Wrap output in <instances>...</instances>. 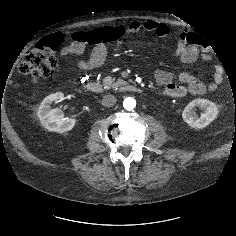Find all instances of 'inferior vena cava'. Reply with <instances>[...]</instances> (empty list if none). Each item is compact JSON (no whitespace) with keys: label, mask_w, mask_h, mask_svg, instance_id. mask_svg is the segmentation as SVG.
I'll use <instances>...</instances> for the list:
<instances>
[{"label":"inferior vena cava","mask_w":236,"mask_h":236,"mask_svg":"<svg viewBox=\"0 0 236 236\" xmlns=\"http://www.w3.org/2000/svg\"><path fill=\"white\" fill-rule=\"evenodd\" d=\"M116 103V98L115 96L108 94L105 95L102 99V105L105 107H112Z\"/></svg>","instance_id":"602c4592"}]
</instances>
